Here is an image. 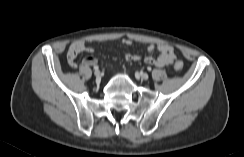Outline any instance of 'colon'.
Wrapping results in <instances>:
<instances>
[{"label": "colon", "instance_id": "obj_1", "mask_svg": "<svg viewBox=\"0 0 244 157\" xmlns=\"http://www.w3.org/2000/svg\"><path fill=\"white\" fill-rule=\"evenodd\" d=\"M183 66H184V64H183V62H182L181 60H177V61L174 63V68H175L176 70H181V69H183Z\"/></svg>", "mask_w": 244, "mask_h": 157}]
</instances>
